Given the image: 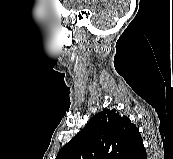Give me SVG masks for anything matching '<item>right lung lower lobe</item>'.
Masks as SVG:
<instances>
[{
	"label": "right lung lower lobe",
	"mask_w": 173,
	"mask_h": 159,
	"mask_svg": "<svg viewBox=\"0 0 173 159\" xmlns=\"http://www.w3.org/2000/svg\"><path fill=\"white\" fill-rule=\"evenodd\" d=\"M135 159H147L145 150L140 153Z\"/></svg>",
	"instance_id": "1"
}]
</instances>
